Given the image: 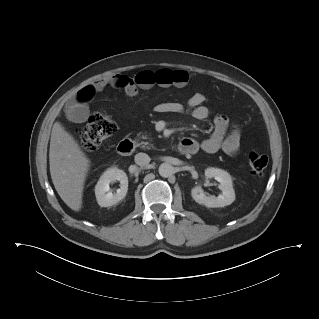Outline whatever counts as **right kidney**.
I'll return each instance as SVG.
<instances>
[{"label": "right kidney", "instance_id": "right-kidney-1", "mask_svg": "<svg viewBox=\"0 0 319 319\" xmlns=\"http://www.w3.org/2000/svg\"><path fill=\"white\" fill-rule=\"evenodd\" d=\"M120 182V188L115 193L110 192L109 184L114 181ZM128 191V177L126 173L116 167L108 168L100 177L95 186V195L101 207H108L117 204L122 200Z\"/></svg>", "mask_w": 319, "mask_h": 319}]
</instances>
